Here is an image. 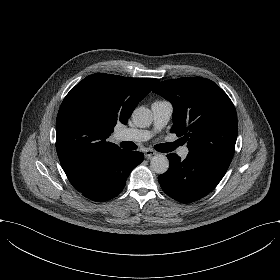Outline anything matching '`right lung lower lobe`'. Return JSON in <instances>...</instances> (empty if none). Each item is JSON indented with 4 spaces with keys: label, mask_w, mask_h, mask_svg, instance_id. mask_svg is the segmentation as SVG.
<instances>
[{
    "label": "right lung lower lobe",
    "mask_w": 280,
    "mask_h": 280,
    "mask_svg": "<svg viewBox=\"0 0 280 280\" xmlns=\"http://www.w3.org/2000/svg\"><path fill=\"white\" fill-rule=\"evenodd\" d=\"M143 159L141 152L123 150L92 164L73 187L92 201L110 200L123 190L130 172Z\"/></svg>",
    "instance_id": "right-lung-lower-lobe-1"
}]
</instances>
